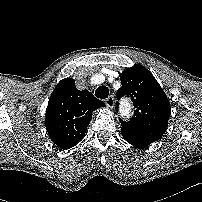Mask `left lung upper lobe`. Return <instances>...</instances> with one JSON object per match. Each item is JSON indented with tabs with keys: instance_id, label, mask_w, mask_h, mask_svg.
I'll use <instances>...</instances> for the list:
<instances>
[{
	"instance_id": "obj_1",
	"label": "left lung upper lobe",
	"mask_w": 202,
	"mask_h": 202,
	"mask_svg": "<svg viewBox=\"0 0 202 202\" xmlns=\"http://www.w3.org/2000/svg\"><path fill=\"white\" fill-rule=\"evenodd\" d=\"M120 79L122 87L118 90L117 99L127 95L135 108V116L130 121L120 119L121 131L144 139L159 140L167 129L171 114L165 92L151 72L140 64L123 71Z\"/></svg>"
}]
</instances>
